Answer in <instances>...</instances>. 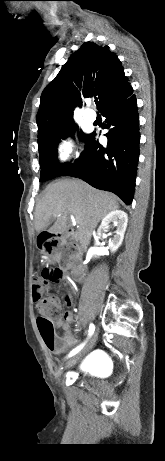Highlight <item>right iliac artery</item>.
<instances>
[{
    "instance_id": "right-iliac-artery-1",
    "label": "right iliac artery",
    "mask_w": 165,
    "mask_h": 461,
    "mask_svg": "<svg viewBox=\"0 0 165 461\" xmlns=\"http://www.w3.org/2000/svg\"><path fill=\"white\" fill-rule=\"evenodd\" d=\"M94 330H95V327H94L93 324H91L90 327H89V335H92L93 332H94ZM82 347H83V345H81V346L77 347L76 349H74V350L69 354V357H71V356L75 355L77 352H79V351L81 350Z\"/></svg>"
}]
</instances>
